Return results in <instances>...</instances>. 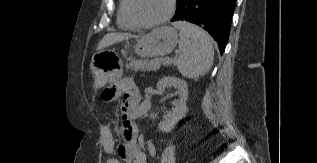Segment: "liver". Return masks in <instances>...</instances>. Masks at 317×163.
I'll use <instances>...</instances> for the list:
<instances>
[{"label": "liver", "mask_w": 317, "mask_h": 163, "mask_svg": "<svg viewBox=\"0 0 317 163\" xmlns=\"http://www.w3.org/2000/svg\"><path fill=\"white\" fill-rule=\"evenodd\" d=\"M135 36L128 33H110L105 35L97 45V50H102L106 47L112 46L123 40L134 38Z\"/></svg>", "instance_id": "1"}]
</instances>
